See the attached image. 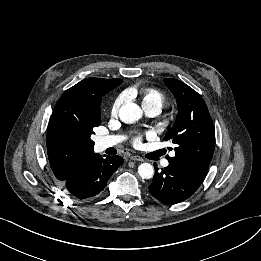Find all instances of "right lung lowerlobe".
Here are the masks:
<instances>
[{
  "mask_svg": "<svg viewBox=\"0 0 261 261\" xmlns=\"http://www.w3.org/2000/svg\"><path fill=\"white\" fill-rule=\"evenodd\" d=\"M123 161L120 156L102 158L98 153L92 152L67 179L62 181L66 193L82 201L99 197L109 178Z\"/></svg>",
  "mask_w": 261,
  "mask_h": 261,
  "instance_id": "98d812e1",
  "label": "right lung lower lobe"
}]
</instances>
